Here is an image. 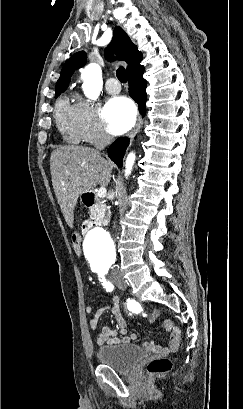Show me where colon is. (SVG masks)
Segmentation results:
<instances>
[{"label": "colon", "instance_id": "5ec220e1", "mask_svg": "<svg viewBox=\"0 0 243 409\" xmlns=\"http://www.w3.org/2000/svg\"><path fill=\"white\" fill-rule=\"evenodd\" d=\"M72 245H73L74 252L77 255H80L81 254V239L79 235L74 234L72 236ZM157 315H158L157 310L152 311L148 316V320H153L154 318L157 317ZM171 368H172V361L168 357H160V358L153 359L152 361L148 363L147 373L151 376L160 375V374H164L170 371Z\"/></svg>", "mask_w": 243, "mask_h": 409}]
</instances>
